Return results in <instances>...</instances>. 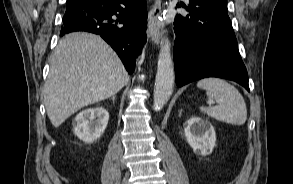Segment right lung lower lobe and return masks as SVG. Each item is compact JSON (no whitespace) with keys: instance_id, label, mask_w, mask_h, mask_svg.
<instances>
[{"instance_id":"obj_1","label":"right lung lower lobe","mask_w":293,"mask_h":184,"mask_svg":"<svg viewBox=\"0 0 293 184\" xmlns=\"http://www.w3.org/2000/svg\"><path fill=\"white\" fill-rule=\"evenodd\" d=\"M60 35L72 31L99 34L131 74L146 42V0H88L66 10Z\"/></svg>"}]
</instances>
